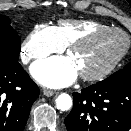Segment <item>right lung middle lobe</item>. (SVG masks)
<instances>
[{"label":"right lung middle lobe","mask_w":131,"mask_h":131,"mask_svg":"<svg viewBox=\"0 0 131 131\" xmlns=\"http://www.w3.org/2000/svg\"><path fill=\"white\" fill-rule=\"evenodd\" d=\"M7 16L0 15V67L18 63L20 38Z\"/></svg>","instance_id":"obj_1"}]
</instances>
